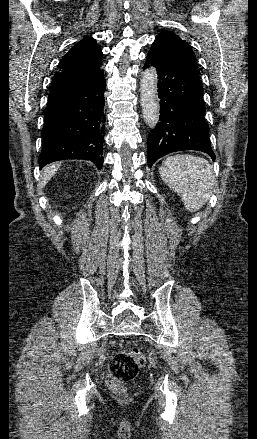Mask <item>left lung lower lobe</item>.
I'll return each instance as SVG.
<instances>
[{"label":"left lung lower lobe","instance_id":"left-lung-lower-lobe-1","mask_svg":"<svg viewBox=\"0 0 257 439\" xmlns=\"http://www.w3.org/2000/svg\"><path fill=\"white\" fill-rule=\"evenodd\" d=\"M150 65L158 74L160 123L148 137L149 166L164 155L184 150L202 151L215 159L196 69L180 52L158 40L147 54L144 69Z\"/></svg>","mask_w":257,"mask_h":439}]
</instances>
